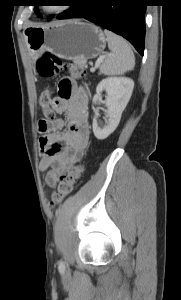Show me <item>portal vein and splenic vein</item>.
I'll use <instances>...</instances> for the list:
<instances>
[{
  "label": "portal vein and splenic vein",
  "mask_w": 181,
  "mask_h": 300,
  "mask_svg": "<svg viewBox=\"0 0 181 300\" xmlns=\"http://www.w3.org/2000/svg\"><path fill=\"white\" fill-rule=\"evenodd\" d=\"M100 62H101V61L98 60L97 63H96V65H95V67H92V68L90 69V71H91V72H95V70H96V68L99 66Z\"/></svg>",
  "instance_id": "1"
}]
</instances>
